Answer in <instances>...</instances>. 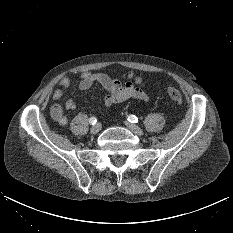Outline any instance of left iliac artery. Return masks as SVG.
Returning <instances> with one entry per match:
<instances>
[{
	"mask_svg": "<svg viewBox=\"0 0 233 233\" xmlns=\"http://www.w3.org/2000/svg\"><path fill=\"white\" fill-rule=\"evenodd\" d=\"M127 120L129 122H131V123H137L138 122V118L135 115H128Z\"/></svg>",
	"mask_w": 233,
	"mask_h": 233,
	"instance_id": "left-iliac-artery-1",
	"label": "left iliac artery"
}]
</instances>
